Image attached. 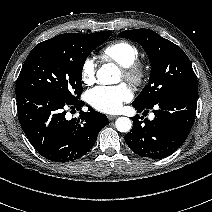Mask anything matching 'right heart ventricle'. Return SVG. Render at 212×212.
I'll list each match as a JSON object with an SVG mask.
<instances>
[{
  "mask_svg": "<svg viewBox=\"0 0 212 212\" xmlns=\"http://www.w3.org/2000/svg\"><path fill=\"white\" fill-rule=\"evenodd\" d=\"M100 58L124 67L137 60L138 50L133 44L119 40L106 45L100 52Z\"/></svg>",
  "mask_w": 212,
  "mask_h": 212,
  "instance_id": "1",
  "label": "right heart ventricle"
}]
</instances>
